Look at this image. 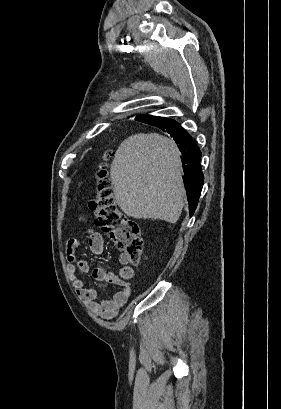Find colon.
Segmentation results:
<instances>
[{"label": "colon", "instance_id": "colon-1", "mask_svg": "<svg viewBox=\"0 0 281 409\" xmlns=\"http://www.w3.org/2000/svg\"><path fill=\"white\" fill-rule=\"evenodd\" d=\"M109 158V154H105ZM96 196L92 201L95 225L113 238L124 262L137 264L143 250L141 230L116 205L113 183L104 169L98 171Z\"/></svg>", "mask_w": 281, "mask_h": 409}]
</instances>
